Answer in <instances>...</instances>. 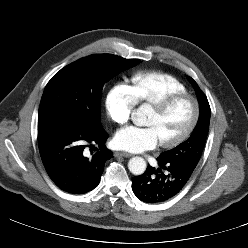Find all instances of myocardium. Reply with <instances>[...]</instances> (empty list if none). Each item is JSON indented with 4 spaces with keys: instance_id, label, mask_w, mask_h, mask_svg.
Returning <instances> with one entry per match:
<instances>
[{
    "instance_id": "obj_1",
    "label": "myocardium",
    "mask_w": 248,
    "mask_h": 248,
    "mask_svg": "<svg viewBox=\"0 0 248 248\" xmlns=\"http://www.w3.org/2000/svg\"><path fill=\"white\" fill-rule=\"evenodd\" d=\"M182 99H189L192 102L193 104L192 118L188 126L186 127V129L179 136L171 140L160 142V145L164 148L176 147L190 137V135L193 133L199 121V117L201 113L200 103L194 95L188 92H180V93H172V94L166 95L163 98H161L159 101L151 105V109L153 111H155L157 114H163L167 110H169V108L174 103Z\"/></svg>"
}]
</instances>
